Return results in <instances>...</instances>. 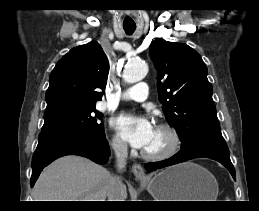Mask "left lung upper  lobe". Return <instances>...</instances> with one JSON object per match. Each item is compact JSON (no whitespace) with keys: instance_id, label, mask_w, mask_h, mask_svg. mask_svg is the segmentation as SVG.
<instances>
[{"instance_id":"obj_1","label":"left lung upper lobe","mask_w":259,"mask_h":211,"mask_svg":"<svg viewBox=\"0 0 259 211\" xmlns=\"http://www.w3.org/2000/svg\"><path fill=\"white\" fill-rule=\"evenodd\" d=\"M150 57L157 69L159 101L177 130L181 149L203 139L225 142L212 99V86L201 56L184 43L154 41Z\"/></svg>"}]
</instances>
